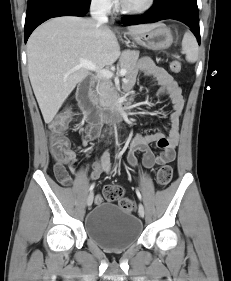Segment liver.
Wrapping results in <instances>:
<instances>
[{"instance_id":"6515ba94","label":"liver","mask_w":231,"mask_h":281,"mask_svg":"<svg viewBox=\"0 0 231 281\" xmlns=\"http://www.w3.org/2000/svg\"><path fill=\"white\" fill-rule=\"evenodd\" d=\"M157 24L127 27L130 34L147 32ZM120 55L114 32L93 19L56 17L40 25L27 42L28 74L45 123L49 124L64 101L89 73L78 68L86 59L102 68Z\"/></svg>"}]
</instances>
